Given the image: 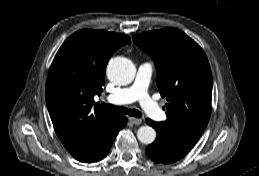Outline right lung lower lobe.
<instances>
[{
    "label": "right lung lower lobe",
    "mask_w": 259,
    "mask_h": 176,
    "mask_svg": "<svg viewBox=\"0 0 259 176\" xmlns=\"http://www.w3.org/2000/svg\"><path fill=\"white\" fill-rule=\"evenodd\" d=\"M127 118L125 116H118L116 123L112 128L106 132L100 139H98L90 148L81 154L75 155L74 158L80 162H97L103 159L109 152L117 133L126 125Z\"/></svg>",
    "instance_id": "1"
}]
</instances>
